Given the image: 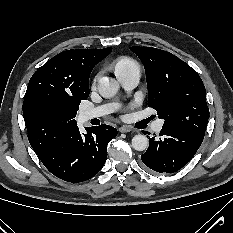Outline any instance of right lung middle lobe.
Instances as JSON below:
<instances>
[{
    "mask_svg": "<svg viewBox=\"0 0 233 233\" xmlns=\"http://www.w3.org/2000/svg\"><path fill=\"white\" fill-rule=\"evenodd\" d=\"M78 108H79V103L67 109H59L57 107H50L48 109V115L54 119H63V118L74 119L77 114Z\"/></svg>",
    "mask_w": 233,
    "mask_h": 233,
    "instance_id": "dd1d6c3e",
    "label": "right lung middle lobe"
}]
</instances>
